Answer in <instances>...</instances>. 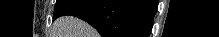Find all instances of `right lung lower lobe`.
Returning a JSON list of instances; mask_svg holds the SVG:
<instances>
[{
	"label": "right lung lower lobe",
	"instance_id": "98d812e1",
	"mask_svg": "<svg viewBox=\"0 0 219 37\" xmlns=\"http://www.w3.org/2000/svg\"><path fill=\"white\" fill-rule=\"evenodd\" d=\"M157 5V0H73L55 18H81L102 37H148Z\"/></svg>",
	"mask_w": 219,
	"mask_h": 37
}]
</instances>
